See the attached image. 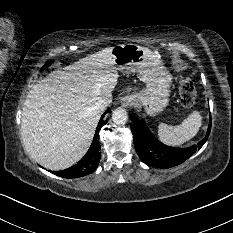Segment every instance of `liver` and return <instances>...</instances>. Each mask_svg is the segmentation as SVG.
I'll use <instances>...</instances> for the list:
<instances>
[{
  "mask_svg": "<svg viewBox=\"0 0 233 233\" xmlns=\"http://www.w3.org/2000/svg\"><path fill=\"white\" fill-rule=\"evenodd\" d=\"M112 47L55 70L29 91L22 108L24 149L50 170L66 169L89 149L100 112L101 99L112 101L118 69Z\"/></svg>",
  "mask_w": 233,
  "mask_h": 233,
  "instance_id": "1",
  "label": "liver"
}]
</instances>
